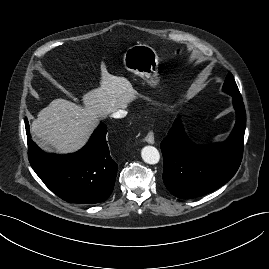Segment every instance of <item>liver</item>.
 <instances>
[{"label":"liver","instance_id":"1","mask_svg":"<svg viewBox=\"0 0 269 269\" xmlns=\"http://www.w3.org/2000/svg\"><path fill=\"white\" fill-rule=\"evenodd\" d=\"M136 98L137 92L126 78L103 71L100 87L83 95L84 107L55 99L38 113L31 131L42 149L72 153L85 145L100 118L127 108Z\"/></svg>","mask_w":269,"mask_h":269}]
</instances>
